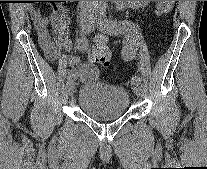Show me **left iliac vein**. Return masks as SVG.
Masks as SVG:
<instances>
[{"label": "left iliac vein", "instance_id": "obj_1", "mask_svg": "<svg viewBox=\"0 0 207 169\" xmlns=\"http://www.w3.org/2000/svg\"><path fill=\"white\" fill-rule=\"evenodd\" d=\"M94 26H95V24H94V22L92 21V25H91V28H90L91 31L94 30ZM102 30H103L104 32H107V31L104 30V29H102ZM107 33H109V32H107ZM133 91H134L135 95L140 96V94H141V86H140V84H135L134 87H133Z\"/></svg>", "mask_w": 207, "mask_h": 169}]
</instances>
